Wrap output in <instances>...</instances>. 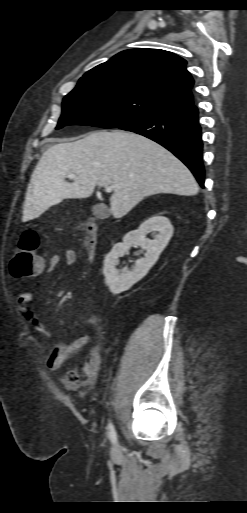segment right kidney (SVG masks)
<instances>
[{
  "label": "right kidney",
  "mask_w": 247,
  "mask_h": 513,
  "mask_svg": "<svg viewBox=\"0 0 247 513\" xmlns=\"http://www.w3.org/2000/svg\"><path fill=\"white\" fill-rule=\"evenodd\" d=\"M173 231V226L167 217L154 216L144 221L138 230L128 232L122 243L114 245L105 258L103 268L105 283L110 291L119 294L142 279L158 260L171 239ZM148 233H152L153 239L146 238ZM133 245L146 250L144 257L136 261L132 270L124 268L119 271L116 268L119 257H122Z\"/></svg>",
  "instance_id": "1"
}]
</instances>
